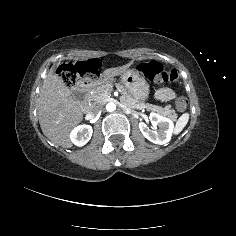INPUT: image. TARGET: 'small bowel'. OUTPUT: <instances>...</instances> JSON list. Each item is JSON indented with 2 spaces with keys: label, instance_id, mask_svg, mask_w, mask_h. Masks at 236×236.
<instances>
[{
  "label": "small bowel",
  "instance_id": "small-bowel-1",
  "mask_svg": "<svg viewBox=\"0 0 236 236\" xmlns=\"http://www.w3.org/2000/svg\"><path fill=\"white\" fill-rule=\"evenodd\" d=\"M156 97L159 100L168 101L176 97V93L170 88H162L156 92Z\"/></svg>",
  "mask_w": 236,
  "mask_h": 236
}]
</instances>
